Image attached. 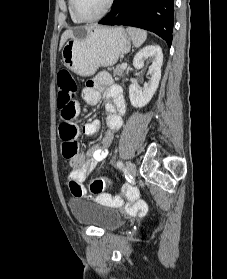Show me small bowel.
I'll return each mask as SVG.
<instances>
[{"mask_svg": "<svg viewBox=\"0 0 227 279\" xmlns=\"http://www.w3.org/2000/svg\"><path fill=\"white\" fill-rule=\"evenodd\" d=\"M81 96L83 101L91 106L97 105L102 96L107 98L105 105V123L107 130L104 132L103 146L93 149L88 157L76 153L74 157L70 159L72 170L67 175V183L71 189V180H75L81 190L86 191L83 182L95 169L96 165L107 157L106 147L111 143L114 133L122 125V115L125 112V104L120 86L115 84L112 78L106 74H101L98 78L89 80L83 88ZM68 124L75 125L72 121H69ZM102 129L103 124L99 120H93L83 125V132L88 136H97L102 132ZM125 189L128 193L136 191L130 186H126ZM146 209L147 205L143 200L131 201L128 204V210L131 212L135 211L141 214Z\"/></svg>", "mask_w": 227, "mask_h": 279, "instance_id": "obj_1", "label": "small bowel"}]
</instances>
